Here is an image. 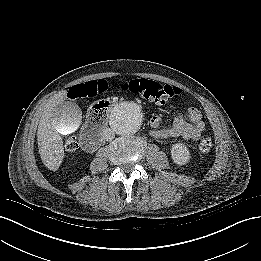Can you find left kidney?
<instances>
[{
  "mask_svg": "<svg viewBox=\"0 0 261 261\" xmlns=\"http://www.w3.org/2000/svg\"><path fill=\"white\" fill-rule=\"evenodd\" d=\"M190 152L183 143H176L171 146V158L178 165H185L190 161Z\"/></svg>",
  "mask_w": 261,
  "mask_h": 261,
  "instance_id": "1",
  "label": "left kidney"
}]
</instances>
